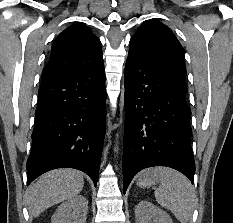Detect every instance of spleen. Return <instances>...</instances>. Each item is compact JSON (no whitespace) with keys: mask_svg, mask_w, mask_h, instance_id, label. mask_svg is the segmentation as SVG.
Masks as SVG:
<instances>
[{"mask_svg":"<svg viewBox=\"0 0 233 223\" xmlns=\"http://www.w3.org/2000/svg\"><path fill=\"white\" fill-rule=\"evenodd\" d=\"M160 185L155 189L156 201L170 209L181 223L192 219L196 195L191 181L170 167H159Z\"/></svg>","mask_w":233,"mask_h":223,"instance_id":"1","label":"spleen"}]
</instances>
